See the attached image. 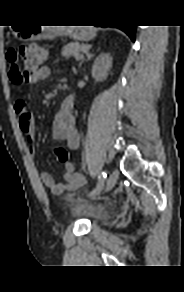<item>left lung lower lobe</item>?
I'll use <instances>...</instances> for the list:
<instances>
[{"instance_id": "0a47b994", "label": "left lung lower lobe", "mask_w": 184, "mask_h": 292, "mask_svg": "<svg viewBox=\"0 0 184 292\" xmlns=\"http://www.w3.org/2000/svg\"><path fill=\"white\" fill-rule=\"evenodd\" d=\"M117 27L123 30L132 39V41H135V27L136 26H117Z\"/></svg>"}]
</instances>
